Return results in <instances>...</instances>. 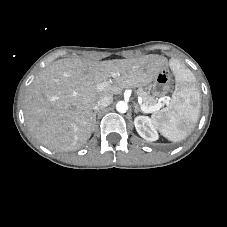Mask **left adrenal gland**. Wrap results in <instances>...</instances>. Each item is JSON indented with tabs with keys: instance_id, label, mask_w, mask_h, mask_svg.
<instances>
[{
	"instance_id": "left-adrenal-gland-1",
	"label": "left adrenal gland",
	"mask_w": 227,
	"mask_h": 227,
	"mask_svg": "<svg viewBox=\"0 0 227 227\" xmlns=\"http://www.w3.org/2000/svg\"><path fill=\"white\" fill-rule=\"evenodd\" d=\"M134 107H135V110H134L135 113H138V112L144 113V112L139 108L138 104H134Z\"/></svg>"
}]
</instances>
